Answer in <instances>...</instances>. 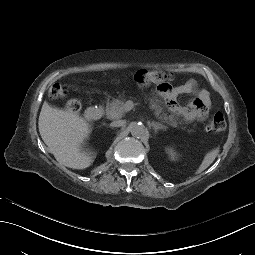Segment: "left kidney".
Wrapping results in <instances>:
<instances>
[{"label":"left kidney","mask_w":255,"mask_h":255,"mask_svg":"<svg viewBox=\"0 0 255 255\" xmlns=\"http://www.w3.org/2000/svg\"><path fill=\"white\" fill-rule=\"evenodd\" d=\"M166 152L169 155L171 160H175L176 159L177 154H176V152L172 148H167Z\"/></svg>","instance_id":"obj_1"}]
</instances>
